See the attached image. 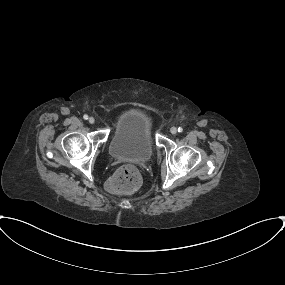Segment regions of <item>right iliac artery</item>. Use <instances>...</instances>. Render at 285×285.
Returning a JSON list of instances; mask_svg holds the SVG:
<instances>
[{
	"label": "right iliac artery",
	"instance_id": "1",
	"mask_svg": "<svg viewBox=\"0 0 285 285\" xmlns=\"http://www.w3.org/2000/svg\"><path fill=\"white\" fill-rule=\"evenodd\" d=\"M83 118H84L85 120H87V119H88V115L85 114V115L83 116Z\"/></svg>",
	"mask_w": 285,
	"mask_h": 285
}]
</instances>
